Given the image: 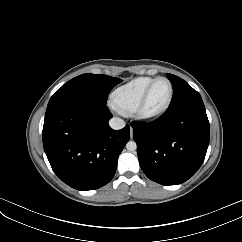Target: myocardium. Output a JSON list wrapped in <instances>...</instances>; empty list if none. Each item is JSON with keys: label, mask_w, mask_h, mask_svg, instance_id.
Wrapping results in <instances>:
<instances>
[{"label": "myocardium", "mask_w": 242, "mask_h": 242, "mask_svg": "<svg viewBox=\"0 0 242 242\" xmlns=\"http://www.w3.org/2000/svg\"><path fill=\"white\" fill-rule=\"evenodd\" d=\"M160 80H164L169 84V88H170L169 96H168L166 102L162 106H160L159 108H157L155 110H148L146 105H147L149 94H150L153 86L155 85V83ZM173 95H174V88H173L172 82L167 77H163V76L156 77L151 81V83L145 89L143 95L141 96L140 100L138 101L137 105L135 106V108L133 110V114L138 119H141V120L154 119V118L160 116L162 113H164L167 110V108L171 104Z\"/></svg>", "instance_id": "1"}]
</instances>
